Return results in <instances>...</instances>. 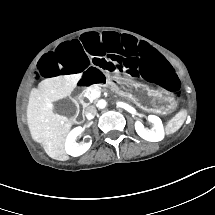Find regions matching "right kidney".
I'll use <instances>...</instances> for the list:
<instances>
[{
  "label": "right kidney",
  "instance_id": "obj_1",
  "mask_svg": "<svg viewBox=\"0 0 215 215\" xmlns=\"http://www.w3.org/2000/svg\"><path fill=\"white\" fill-rule=\"evenodd\" d=\"M83 132H84L83 127L78 126V127L74 128L68 134L66 142H65V150H66L67 154H69L73 157H77V156H80L83 153H85L90 148L91 143L79 144V143L75 142L77 135L82 134ZM87 137H89V136H85V138H87Z\"/></svg>",
  "mask_w": 215,
  "mask_h": 215
}]
</instances>
